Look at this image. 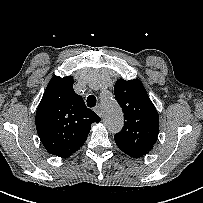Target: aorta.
<instances>
[{"instance_id":"762f6f07","label":"aorta","mask_w":203,"mask_h":203,"mask_svg":"<svg viewBox=\"0 0 203 203\" xmlns=\"http://www.w3.org/2000/svg\"><path fill=\"white\" fill-rule=\"evenodd\" d=\"M103 119L106 127L112 132H119L123 126V113L116 100L110 95L101 99Z\"/></svg>"}]
</instances>
